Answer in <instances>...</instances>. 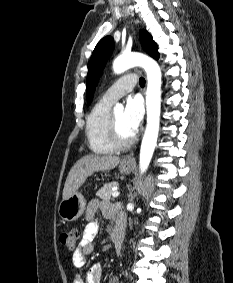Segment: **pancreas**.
<instances>
[{"label":"pancreas","mask_w":233,"mask_h":283,"mask_svg":"<svg viewBox=\"0 0 233 283\" xmlns=\"http://www.w3.org/2000/svg\"><path fill=\"white\" fill-rule=\"evenodd\" d=\"M118 185V182L106 183L97 191L96 195L103 200H109L113 193L112 188L117 187Z\"/></svg>","instance_id":"obj_1"}]
</instances>
